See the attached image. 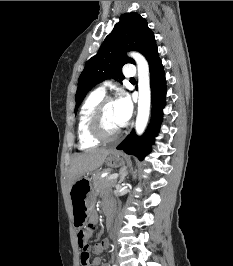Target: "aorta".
<instances>
[{"mask_svg": "<svg viewBox=\"0 0 233 266\" xmlns=\"http://www.w3.org/2000/svg\"><path fill=\"white\" fill-rule=\"evenodd\" d=\"M129 55L137 64L139 98L135 128L136 133L141 135L145 131L150 114L151 90L149 65L143 55L137 52H132Z\"/></svg>", "mask_w": 233, "mask_h": 266, "instance_id": "762f6f07", "label": "aorta"}]
</instances>
